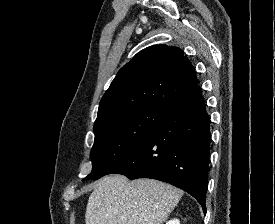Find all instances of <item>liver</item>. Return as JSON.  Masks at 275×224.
<instances>
[{
	"label": "liver",
	"instance_id": "liver-1",
	"mask_svg": "<svg viewBox=\"0 0 275 224\" xmlns=\"http://www.w3.org/2000/svg\"><path fill=\"white\" fill-rule=\"evenodd\" d=\"M183 192L153 179L128 181L111 175L98 181L85 213L86 224H162Z\"/></svg>",
	"mask_w": 275,
	"mask_h": 224
}]
</instances>
